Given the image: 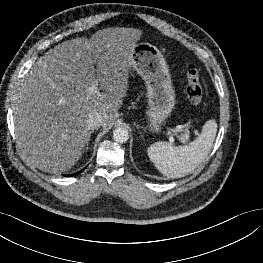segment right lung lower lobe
I'll return each instance as SVG.
<instances>
[{"label": "right lung lower lobe", "instance_id": "98d812e1", "mask_svg": "<svg viewBox=\"0 0 263 263\" xmlns=\"http://www.w3.org/2000/svg\"><path fill=\"white\" fill-rule=\"evenodd\" d=\"M81 171H79V172H77V173H74V174H71V175H69V176H74V175H77V174H79Z\"/></svg>", "mask_w": 263, "mask_h": 263}]
</instances>
